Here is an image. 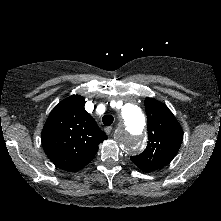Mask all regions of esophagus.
<instances>
[{
	"mask_svg": "<svg viewBox=\"0 0 221 221\" xmlns=\"http://www.w3.org/2000/svg\"><path fill=\"white\" fill-rule=\"evenodd\" d=\"M112 130H113V128L111 126L105 127V129H104L105 133L108 135L111 133Z\"/></svg>",
	"mask_w": 221,
	"mask_h": 221,
	"instance_id": "esophagus-1",
	"label": "esophagus"
}]
</instances>
